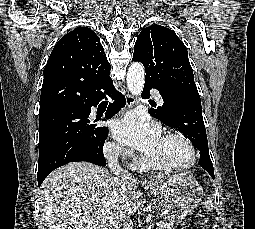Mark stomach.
Returning a JSON list of instances; mask_svg holds the SVG:
<instances>
[{
	"label": "stomach",
	"mask_w": 255,
	"mask_h": 229,
	"mask_svg": "<svg viewBox=\"0 0 255 229\" xmlns=\"http://www.w3.org/2000/svg\"><path fill=\"white\" fill-rule=\"evenodd\" d=\"M150 193L164 199L162 217L171 222L182 221L202 201L204 191L195 178L181 173L165 182L145 186Z\"/></svg>",
	"instance_id": "obj_1"
}]
</instances>
